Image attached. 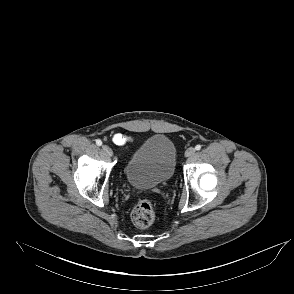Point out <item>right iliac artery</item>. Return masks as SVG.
I'll use <instances>...</instances> for the list:
<instances>
[{
    "label": "right iliac artery",
    "mask_w": 294,
    "mask_h": 294,
    "mask_svg": "<svg viewBox=\"0 0 294 294\" xmlns=\"http://www.w3.org/2000/svg\"><path fill=\"white\" fill-rule=\"evenodd\" d=\"M96 144H97L98 146H101V145H102V141H101L100 139H97V140H96Z\"/></svg>",
    "instance_id": "obj_1"
}]
</instances>
